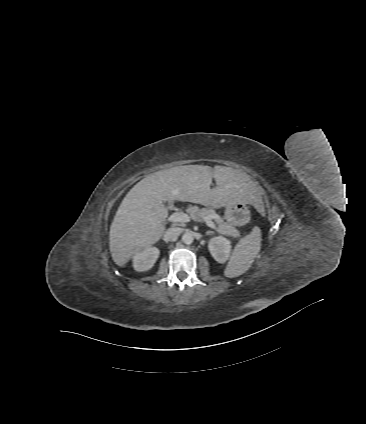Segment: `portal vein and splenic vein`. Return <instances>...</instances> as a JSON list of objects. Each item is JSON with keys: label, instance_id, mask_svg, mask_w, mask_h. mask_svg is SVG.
<instances>
[{"label": "portal vein and splenic vein", "instance_id": "obj_1", "mask_svg": "<svg viewBox=\"0 0 366 424\" xmlns=\"http://www.w3.org/2000/svg\"><path fill=\"white\" fill-rule=\"evenodd\" d=\"M192 219H194L193 216L188 215L187 213H183V212H175L168 217V220L170 222H173V223L190 222ZM204 222L211 229H216L215 223L213 221H211L210 218H205Z\"/></svg>", "mask_w": 366, "mask_h": 424}]
</instances>
